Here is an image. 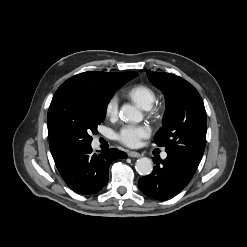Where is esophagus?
<instances>
[{"label": "esophagus", "instance_id": "esophagus-1", "mask_svg": "<svg viewBox=\"0 0 247 247\" xmlns=\"http://www.w3.org/2000/svg\"><path fill=\"white\" fill-rule=\"evenodd\" d=\"M128 156L131 158H138V157H141V154L136 151H129Z\"/></svg>", "mask_w": 247, "mask_h": 247}]
</instances>
